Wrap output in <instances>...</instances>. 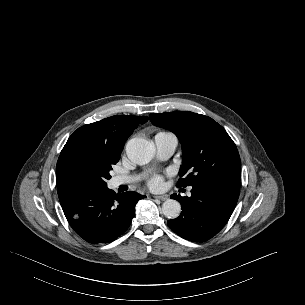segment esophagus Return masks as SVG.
Returning <instances> with one entry per match:
<instances>
[{
    "label": "esophagus",
    "instance_id": "1",
    "mask_svg": "<svg viewBox=\"0 0 305 305\" xmlns=\"http://www.w3.org/2000/svg\"><path fill=\"white\" fill-rule=\"evenodd\" d=\"M154 198L159 199L161 201H165V200L168 199V196L167 195H161V196L160 195H155Z\"/></svg>",
    "mask_w": 305,
    "mask_h": 305
}]
</instances>
